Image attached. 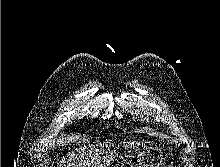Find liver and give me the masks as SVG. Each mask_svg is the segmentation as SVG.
<instances>
[{
  "mask_svg": "<svg viewBox=\"0 0 220 167\" xmlns=\"http://www.w3.org/2000/svg\"><path fill=\"white\" fill-rule=\"evenodd\" d=\"M117 148L114 143L79 148L63 158L59 167H108Z\"/></svg>",
  "mask_w": 220,
  "mask_h": 167,
  "instance_id": "6515ba94",
  "label": "liver"
}]
</instances>
